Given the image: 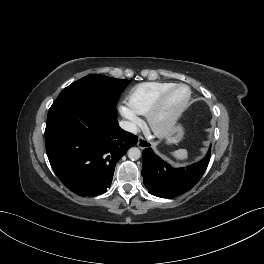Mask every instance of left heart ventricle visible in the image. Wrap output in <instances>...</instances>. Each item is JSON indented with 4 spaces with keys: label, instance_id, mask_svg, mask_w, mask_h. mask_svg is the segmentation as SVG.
<instances>
[{
    "label": "left heart ventricle",
    "instance_id": "1",
    "mask_svg": "<svg viewBox=\"0 0 264 264\" xmlns=\"http://www.w3.org/2000/svg\"><path fill=\"white\" fill-rule=\"evenodd\" d=\"M187 95L188 91L186 88L181 87L172 91L165 102L159 120L164 121L171 116L183 104Z\"/></svg>",
    "mask_w": 264,
    "mask_h": 264
}]
</instances>
